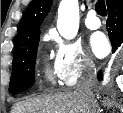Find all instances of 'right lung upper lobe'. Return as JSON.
Segmentation results:
<instances>
[{"label":"right lung upper lobe","mask_w":123,"mask_h":113,"mask_svg":"<svg viewBox=\"0 0 123 113\" xmlns=\"http://www.w3.org/2000/svg\"><path fill=\"white\" fill-rule=\"evenodd\" d=\"M110 0H107V3ZM52 0H32L27 7L18 27L14 50L24 42L40 35L39 26L47 16Z\"/></svg>","instance_id":"1"}]
</instances>
